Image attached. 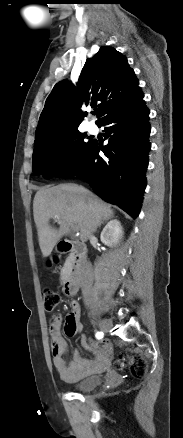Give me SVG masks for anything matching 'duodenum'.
Returning <instances> with one entry per match:
<instances>
[{
    "mask_svg": "<svg viewBox=\"0 0 183 438\" xmlns=\"http://www.w3.org/2000/svg\"><path fill=\"white\" fill-rule=\"evenodd\" d=\"M58 249L61 253H71V265L66 273L64 291L69 296H75L80 288L81 272L87 255L86 246L81 242L62 240Z\"/></svg>",
    "mask_w": 183,
    "mask_h": 438,
    "instance_id": "1",
    "label": "duodenum"
}]
</instances>
